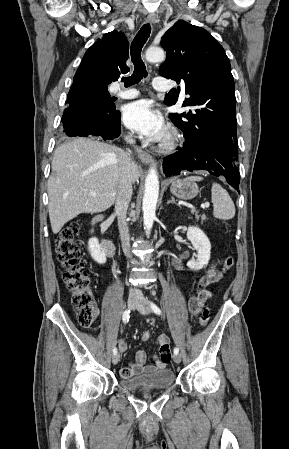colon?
I'll list each match as a JSON object with an SVG mask.
<instances>
[{
  "label": "colon",
  "instance_id": "1",
  "mask_svg": "<svg viewBox=\"0 0 289 449\" xmlns=\"http://www.w3.org/2000/svg\"><path fill=\"white\" fill-rule=\"evenodd\" d=\"M79 230L80 224L73 222L61 231L56 244V254L64 267V281L71 293L78 321L82 327L92 328L97 317V309L92 301L89 271L79 259L77 242ZM233 264V257H226L223 262V271H229ZM208 321L209 309L204 308L199 317V325L206 327ZM149 338L148 331L142 334L143 341H147Z\"/></svg>",
  "mask_w": 289,
  "mask_h": 449
}]
</instances>
